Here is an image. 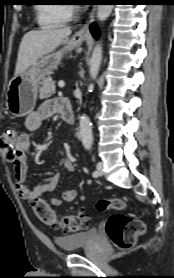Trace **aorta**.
<instances>
[{"label":"aorta","instance_id":"1","mask_svg":"<svg viewBox=\"0 0 174 278\" xmlns=\"http://www.w3.org/2000/svg\"><path fill=\"white\" fill-rule=\"evenodd\" d=\"M113 5H98L97 17L100 21H105L111 14ZM102 61V46L97 44L93 50L90 62L89 73L95 79ZM80 138L85 149H90L93 143V134L89 118L82 115L79 121Z\"/></svg>","mask_w":174,"mask_h":278}]
</instances>
